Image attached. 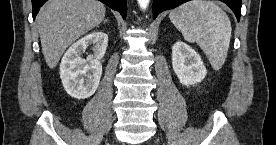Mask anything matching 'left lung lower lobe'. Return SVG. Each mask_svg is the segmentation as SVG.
I'll return each mask as SVG.
<instances>
[{
  "label": "left lung lower lobe",
  "mask_w": 276,
  "mask_h": 145,
  "mask_svg": "<svg viewBox=\"0 0 276 145\" xmlns=\"http://www.w3.org/2000/svg\"><path fill=\"white\" fill-rule=\"evenodd\" d=\"M189 0H153V18L155 19L159 13L164 10H169L177 7L178 5L187 2ZM226 3L232 11L235 13L237 20H240L241 16V4L242 0H221Z\"/></svg>",
  "instance_id": "left-lung-lower-lobe-1"
}]
</instances>
